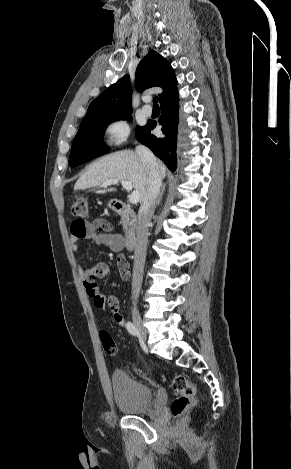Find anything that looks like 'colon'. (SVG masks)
Instances as JSON below:
<instances>
[{
  "label": "colon",
  "mask_w": 291,
  "mask_h": 469,
  "mask_svg": "<svg viewBox=\"0 0 291 469\" xmlns=\"http://www.w3.org/2000/svg\"><path fill=\"white\" fill-rule=\"evenodd\" d=\"M71 214L82 221L88 218L90 208L87 198L83 196L77 197L71 206ZM118 268L123 279L130 277L129 264L122 257L118 258ZM92 303L97 311H103L104 307L107 305V302L100 296H94ZM99 335L104 351L108 355H115L117 353V346L111 335L105 330L100 331ZM171 386L178 395L171 404V411L174 416H179L190 406L195 404L197 388L187 377L181 374H177L172 378Z\"/></svg>",
  "instance_id": "1"
}]
</instances>
